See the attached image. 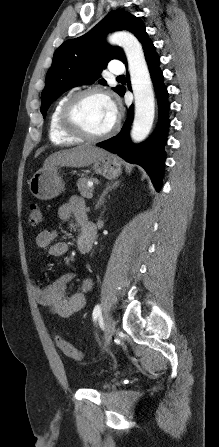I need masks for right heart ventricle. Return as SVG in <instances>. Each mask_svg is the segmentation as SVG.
I'll return each mask as SVG.
<instances>
[{"label": "right heart ventricle", "mask_w": 219, "mask_h": 447, "mask_svg": "<svg viewBox=\"0 0 219 447\" xmlns=\"http://www.w3.org/2000/svg\"><path fill=\"white\" fill-rule=\"evenodd\" d=\"M68 98L69 95H66L59 99L54 105L49 116L48 136L51 142L55 144H75L82 141V139L75 137L63 130L60 124V113L64 103Z\"/></svg>", "instance_id": "right-heart-ventricle-1"}]
</instances>
